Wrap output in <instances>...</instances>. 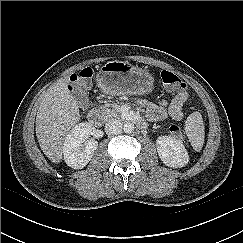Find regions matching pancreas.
Segmentation results:
<instances>
[{"label":"pancreas","instance_id":"cf45deb5","mask_svg":"<svg viewBox=\"0 0 243 243\" xmlns=\"http://www.w3.org/2000/svg\"><path fill=\"white\" fill-rule=\"evenodd\" d=\"M120 114L121 110L118 104H107L102 109V115L105 118L118 117Z\"/></svg>","mask_w":243,"mask_h":243}]
</instances>
